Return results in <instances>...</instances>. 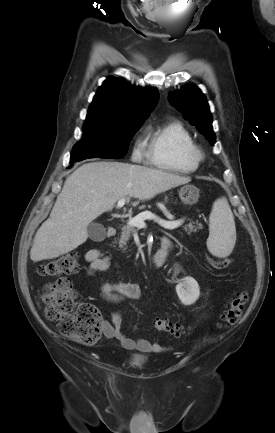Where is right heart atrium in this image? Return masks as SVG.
Listing matches in <instances>:
<instances>
[{
  "label": "right heart atrium",
  "mask_w": 275,
  "mask_h": 433,
  "mask_svg": "<svg viewBox=\"0 0 275 433\" xmlns=\"http://www.w3.org/2000/svg\"><path fill=\"white\" fill-rule=\"evenodd\" d=\"M143 145L141 142H137L134 149H133V153H132V158L135 161H138L141 159L142 155H143Z\"/></svg>",
  "instance_id": "d8ad5b80"
}]
</instances>
